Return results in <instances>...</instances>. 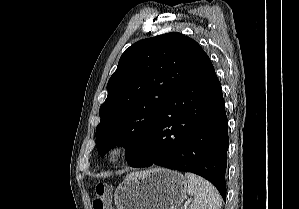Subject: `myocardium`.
<instances>
[{"label": "myocardium", "instance_id": "1", "mask_svg": "<svg viewBox=\"0 0 299 209\" xmlns=\"http://www.w3.org/2000/svg\"><path fill=\"white\" fill-rule=\"evenodd\" d=\"M131 152L130 145L125 141H115L106 150V161L110 165H119L125 162Z\"/></svg>", "mask_w": 299, "mask_h": 209}]
</instances>
